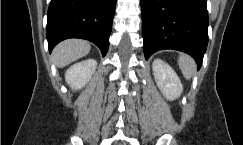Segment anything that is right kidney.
<instances>
[{
    "mask_svg": "<svg viewBox=\"0 0 243 145\" xmlns=\"http://www.w3.org/2000/svg\"><path fill=\"white\" fill-rule=\"evenodd\" d=\"M97 67L94 59H88L72 65L65 73L66 83L73 89L83 88L91 79Z\"/></svg>",
    "mask_w": 243,
    "mask_h": 145,
    "instance_id": "right-kidney-1",
    "label": "right kidney"
}]
</instances>
